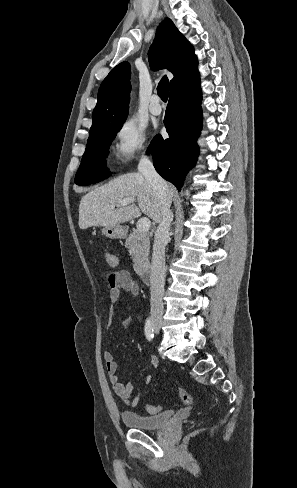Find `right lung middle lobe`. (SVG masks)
<instances>
[{"mask_svg": "<svg viewBox=\"0 0 297 488\" xmlns=\"http://www.w3.org/2000/svg\"><path fill=\"white\" fill-rule=\"evenodd\" d=\"M121 127H101L90 134L81 165L75 175L74 181L77 185L97 183L109 176L105 156Z\"/></svg>", "mask_w": 297, "mask_h": 488, "instance_id": "obj_1", "label": "right lung middle lobe"}]
</instances>
